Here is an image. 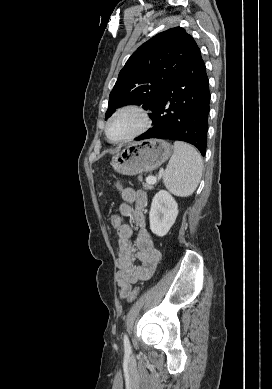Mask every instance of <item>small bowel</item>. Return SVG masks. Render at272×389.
<instances>
[{
  "label": "small bowel",
  "mask_w": 272,
  "mask_h": 389,
  "mask_svg": "<svg viewBox=\"0 0 272 389\" xmlns=\"http://www.w3.org/2000/svg\"><path fill=\"white\" fill-rule=\"evenodd\" d=\"M121 195L123 202L119 206V214L121 217L132 219L136 227L135 231L132 225L122 224L117 230L119 256L116 281L120 297L126 298L132 285L153 275L161 259V253L154 246L152 237L146 228L144 216L147 205L146 193L127 187L122 190ZM134 233L136 238L133 241ZM136 260H139L141 265H136Z\"/></svg>",
  "instance_id": "1"
}]
</instances>
